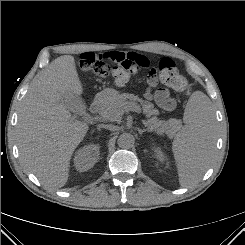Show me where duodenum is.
<instances>
[{"mask_svg": "<svg viewBox=\"0 0 245 245\" xmlns=\"http://www.w3.org/2000/svg\"><path fill=\"white\" fill-rule=\"evenodd\" d=\"M107 101H108V97L106 95L97 96L91 105L92 113L94 114L100 113L104 109L105 105L107 104Z\"/></svg>", "mask_w": 245, "mask_h": 245, "instance_id": "duodenum-1", "label": "duodenum"}]
</instances>
